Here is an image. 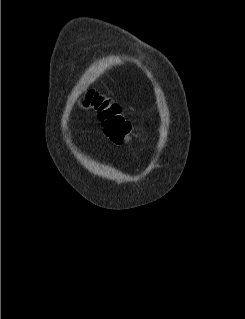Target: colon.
<instances>
[{
  "label": "colon",
  "instance_id": "colon-1",
  "mask_svg": "<svg viewBox=\"0 0 245 319\" xmlns=\"http://www.w3.org/2000/svg\"><path fill=\"white\" fill-rule=\"evenodd\" d=\"M85 106L90 107L103 124L105 135L110 140L122 145L129 141L133 134L131 122L121 114L118 104L109 98L90 90L85 99Z\"/></svg>",
  "mask_w": 245,
  "mask_h": 319
}]
</instances>
